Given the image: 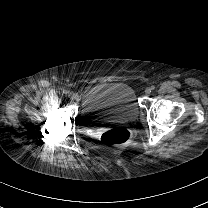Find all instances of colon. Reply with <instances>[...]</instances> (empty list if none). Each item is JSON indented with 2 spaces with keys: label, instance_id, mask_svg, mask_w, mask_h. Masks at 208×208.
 Masks as SVG:
<instances>
[{
  "label": "colon",
  "instance_id": "obj_1",
  "mask_svg": "<svg viewBox=\"0 0 208 208\" xmlns=\"http://www.w3.org/2000/svg\"><path fill=\"white\" fill-rule=\"evenodd\" d=\"M101 138L106 146L114 147L126 144L130 139V133L125 128L117 127L104 132Z\"/></svg>",
  "mask_w": 208,
  "mask_h": 208
}]
</instances>
